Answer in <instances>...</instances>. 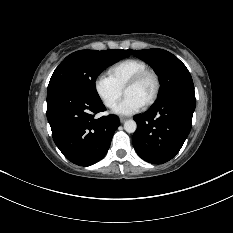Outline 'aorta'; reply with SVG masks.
I'll return each mask as SVG.
<instances>
[{"instance_id":"obj_1","label":"aorta","mask_w":233,"mask_h":233,"mask_svg":"<svg viewBox=\"0 0 233 233\" xmlns=\"http://www.w3.org/2000/svg\"><path fill=\"white\" fill-rule=\"evenodd\" d=\"M124 129L128 133H134L137 129V124L134 120H127L124 123Z\"/></svg>"}]
</instances>
